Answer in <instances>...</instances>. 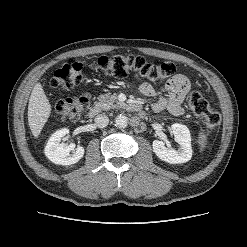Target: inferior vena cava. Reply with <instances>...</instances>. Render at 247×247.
I'll use <instances>...</instances> for the list:
<instances>
[{"mask_svg":"<svg viewBox=\"0 0 247 247\" xmlns=\"http://www.w3.org/2000/svg\"><path fill=\"white\" fill-rule=\"evenodd\" d=\"M109 118L105 114H100L95 118V124L99 128H104L108 125Z\"/></svg>","mask_w":247,"mask_h":247,"instance_id":"1","label":"inferior vena cava"}]
</instances>
